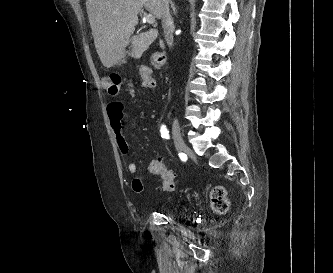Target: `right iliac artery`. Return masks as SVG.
Segmentation results:
<instances>
[{
    "instance_id": "obj_1",
    "label": "right iliac artery",
    "mask_w": 333,
    "mask_h": 273,
    "mask_svg": "<svg viewBox=\"0 0 333 273\" xmlns=\"http://www.w3.org/2000/svg\"><path fill=\"white\" fill-rule=\"evenodd\" d=\"M160 132H161V137L162 138H165V139H169L170 138L169 131L167 130V128H166L165 125L161 126Z\"/></svg>"
}]
</instances>
